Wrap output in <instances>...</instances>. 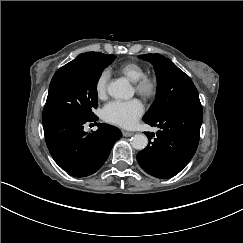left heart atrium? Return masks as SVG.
Masks as SVG:
<instances>
[{"instance_id":"left-heart-atrium-1","label":"left heart atrium","mask_w":243,"mask_h":243,"mask_svg":"<svg viewBox=\"0 0 243 243\" xmlns=\"http://www.w3.org/2000/svg\"><path fill=\"white\" fill-rule=\"evenodd\" d=\"M144 112L143 103L135 98L128 101L112 100L102 108V118L119 126L132 125Z\"/></svg>"}]
</instances>
